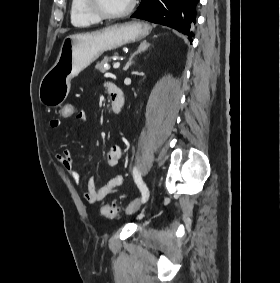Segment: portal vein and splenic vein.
I'll return each instance as SVG.
<instances>
[{
	"label": "portal vein and splenic vein",
	"instance_id": "obj_1",
	"mask_svg": "<svg viewBox=\"0 0 280 283\" xmlns=\"http://www.w3.org/2000/svg\"><path fill=\"white\" fill-rule=\"evenodd\" d=\"M119 66H120V62H119V61H117V62H115V63L113 64V68H114V69L119 68Z\"/></svg>",
	"mask_w": 280,
	"mask_h": 283
}]
</instances>
